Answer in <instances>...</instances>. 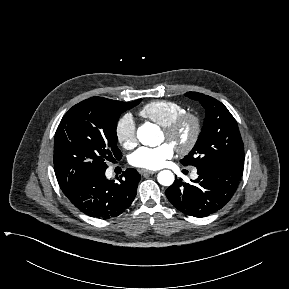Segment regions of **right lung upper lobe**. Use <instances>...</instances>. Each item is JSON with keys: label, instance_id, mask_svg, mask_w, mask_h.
Wrapping results in <instances>:
<instances>
[{"label": "right lung upper lobe", "instance_id": "obj_1", "mask_svg": "<svg viewBox=\"0 0 289 289\" xmlns=\"http://www.w3.org/2000/svg\"><path fill=\"white\" fill-rule=\"evenodd\" d=\"M89 100L98 102V103H102V104H106V105H116L121 103V101H115V100H111V99H106V98H102V97H91L89 98Z\"/></svg>", "mask_w": 289, "mask_h": 289}]
</instances>
